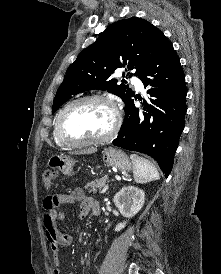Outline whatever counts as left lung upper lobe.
<instances>
[{"label":"left lung upper lobe","mask_w":221,"mask_h":274,"mask_svg":"<svg viewBox=\"0 0 221 274\" xmlns=\"http://www.w3.org/2000/svg\"><path fill=\"white\" fill-rule=\"evenodd\" d=\"M169 43L157 27L144 19L132 17L112 23L69 66L54 98L52 113L72 96L94 89L107 90L126 104L135 93L128 86L117 84L111 74L125 68L134 70L139 77ZM132 75L123 73L126 77Z\"/></svg>","instance_id":"left-lung-upper-lobe-1"}]
</instances>
